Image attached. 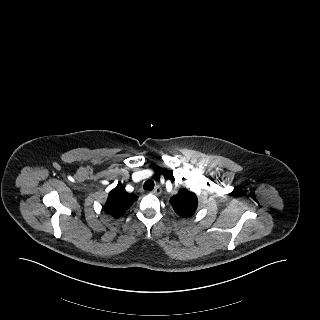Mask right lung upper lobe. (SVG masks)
I'll list each match as a JSON object with an SVG mask.
<instances>
[{"instance_id": "obj_1", "label": "right lung upper lobe", "mask_w": 320, "mask_h": 320, "mask_svg": "<svg viewBox=\"0 0 320 320\" xmlns=\"http://www.w3.org/2000/svg\"><path fill=\"white\" fill-rule=\"evenodd\" d=\"M137 199L135 194L126 192L122 186H117L109 192L103 210L114 218H119Z\"/></svg>"}]
</instances>
